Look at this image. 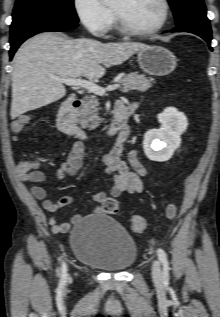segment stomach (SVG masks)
<instances>
[{"label": "stomach", "mask_w": 220, "mask_h": 317, "mask_svg": "<svg viewBox=\"0 0 220 317\" xmlns=\"http://www.w3.org/2000/svg\"><path fill=\"white\" fill-rule=\"evenodd\" d=\"M137 61L143 71L155 76L168 75L177 65L175 55L161 46H147L139 50Z\"/></svg>", "instance_id": "1"}]
</instances>
